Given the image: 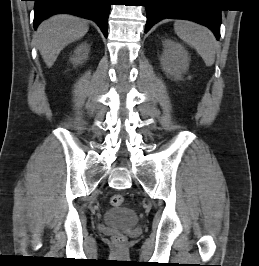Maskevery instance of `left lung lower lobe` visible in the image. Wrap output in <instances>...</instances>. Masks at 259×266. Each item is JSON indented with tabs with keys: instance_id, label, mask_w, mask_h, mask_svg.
Wrapping results in <instances>:
<instances>
[{
	"instance_id": "0a47b994",
	"label": "left lung lower lobe",
	"mask_w": 259,
	"mask_h": 266,
	"mask_svg": "<svg viewBox=\"0 0 259 266\" xmlns=\"http://www.w3.org/2000/svg\"><path fill=\"white\" fill-rule=\"evenodd\" d=\"M201 2V1H200ZM147 23L145 33L165 18L186 19L208 27L220 37L221 10L203 5H194L193 0H145Z\"/></svg>"
}]
</instances>
